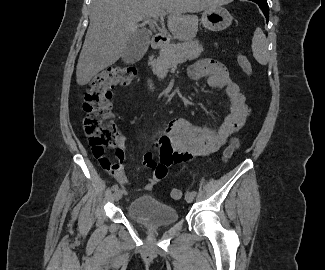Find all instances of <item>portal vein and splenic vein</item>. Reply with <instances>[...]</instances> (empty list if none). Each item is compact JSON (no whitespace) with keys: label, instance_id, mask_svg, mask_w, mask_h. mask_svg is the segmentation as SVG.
Listing matches in <instances>:
<instances>
[{"label":"portal vein and splenic vein","instance_id":"portal-vein-and-splenic-vein-1","mask_svg":"<svg viewBox=\"0 0 325 270\" xmlns=\"http://www.w3.org/2000/svg\"><path fill=\"white\" fill-rule=\"evenodd\" d=\"M159 16H160V18H163V16H165V15L164 14H160ZM155 18H157V17L155 16ZM136 20L137 21H141V20H143V17H137Z\"/></svg>","mask_w":325,"mask_h":270}]
</instances>
